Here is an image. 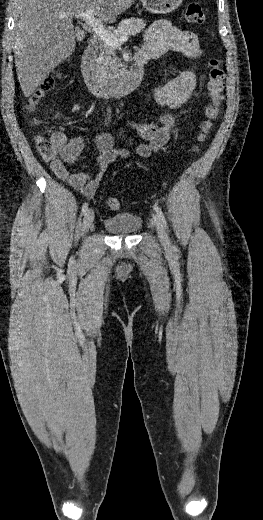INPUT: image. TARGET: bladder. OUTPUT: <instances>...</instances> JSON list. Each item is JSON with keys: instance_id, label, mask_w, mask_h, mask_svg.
Returning a JSON list of instances; mask_svg holds the SVG:
<instances>
[{"instance_id": "1", "label": "bladder", "mask_w": 263, "mask_h": 520, "mask_svg": "<svg viewBox=\"0 0 263 520\" xmlns=\"http://www.w3.org/2000/svg\"><path fill=\"white\" fill-rule=\"evenodd\" d=\"M143 226V220L136 213H119L105 218L103 229L115 235H129L138 232Z\"/></svg>"}]
</instances>
